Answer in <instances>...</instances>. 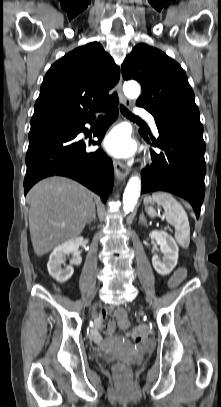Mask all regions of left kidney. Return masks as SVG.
I'll use <instances>...</instances> for the list:
<instances>
[{"label":"left kidney","mask_w":221,"mask_h":407,"mask_svg":"<svg viewBox=\"0 0 221 407\" xmlns=\"http://www.w3.org/2000/svg\"><path fill=\"white\" fill-rule=\"evenodd\" d=\"M150 237L156 241L163 253L161 260L157 254L152 257V265L160 275H168L172 272L178 261L179 248L175 240L165 231L154 230Z\"/></svg>","instance_id":"1"}]
</instances>
